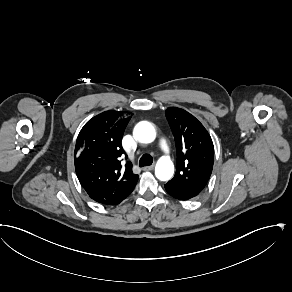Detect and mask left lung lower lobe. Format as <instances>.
<instances>
[{
  "mask_svg": "<svg viewBox=\"0 0 292 292\" xmlns=\"http://www.w3.org/2000/svg\"><path fill=\"white\" fill-rule=\"evenodd\" d=\"M165 190L172 197L179 199V200H189V199L196 197L199 194L195 191L183 189V188L178 187V186L171 184L169 182L167 184H165Z\"/></svg>",
  "mask_w": 292,
  "mask_h": 292,
  "instance_id": "1",
  "label": "left lung lower lobe"
}]
</instances>
